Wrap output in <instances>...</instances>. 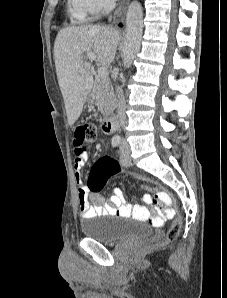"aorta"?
<instances>
[{
  "label": "aorta",
  "instance_id": "762f6f07",
  "mask_svg": "<svg viewBox=\"0 0 227 298\" xmlns=\"http://www.w3.org/2000/svg\"><path fill=\"white\" fill-rule=\"evenodd\" d=\"M143 33V11L141 4L134 0L126 15V37L123 46V64L129 68L140 50Z\"/></svg>",
  "mask_w": 227,
  "mask_h": 298
}]
</instances>
